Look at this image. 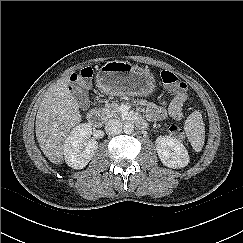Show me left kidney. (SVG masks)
<instances>
[{"label":"left kidney","mask_w":243,"mask_h":243,"mask_svg":"<svg viewBox=\"0 0 243 243\" xmlns=\"http://www.w3.org/2000/svg\"><path fill=\"white\" fill-rule=\"evenodd\" d=\"M156 150L161 162L173 169H180L188 165L189 154L185 146L171 136H159L155 141Z\"/></svg>","instance_id":"left-kidney-1"}]
</instances>
